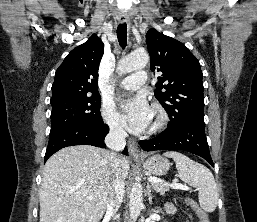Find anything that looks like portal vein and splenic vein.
Wrapping results in <instances>:
<instances>
[{
	"label": "portal vein and splenic vein",
	"mask_w": 257,
	"mask_h": 222,
	"mask_svg": "<svg viewBox=\"0 0 257 222\" xmlns=\"http://www.w3.org/2000/svg\"><path fill=\"white\" fill-rule=\"evenodd\" d=\"M148 181H150L151 183H161V184H164L165 186L171 187L173 189H182V190H189L190 189L189 187H187L185 185H182V184H178V183H172V184L165 183L164 181H162L160 179H157L155 177H149ZM88 199L92 200L93 197L89 196Z\"/></svg>",
	"instance_id": "18ae733b"
}]
</instances>
